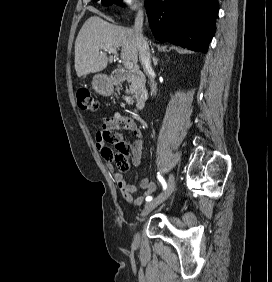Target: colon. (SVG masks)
Wrapping results in <instances>:
<instances>
[{
  "label": "colon",
  "instance_id": "obj_1",
  "mask_svg": "<svg viewBox=\"0 0 272 282\" xmlns=\"http://www.w3.org/2000/svg\"><path fill=\"white\" fill-rule=\"evenodd\" d=\"M77 105L82 110H96L98 102L87 88H81L77 91ZM101 141L108 144L101 149L102 156L105 160H115L120 172H125L129 168V163L126 158L130 148L119 135L112 132L110 129H103L100 132ZM115 153V154H114Z\"/></svg>",
  "mask_w": 272,
  "mask_h": 282
}]
</instances>
